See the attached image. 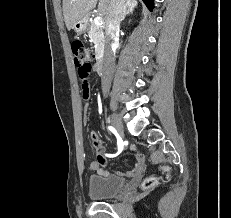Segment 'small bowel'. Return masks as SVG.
Returning <instances> with one entry per match:
<instances>
[{"mask_svg":"<svg viewBox=\"0 0 231 218\" xmlns=\"http://www.w3.org/2000/svg\"><path fill=\"white\" fill-rule=\"evenodd\" d=\"M92 64L80 66L77 70L81 82L82 94L86 98L89 90V75L92 73ZM96 66L95 64L93 65ZM93 147L96 151V159L90 163V168L101 174L107 175L108 172L104 170L107 165V154L104 151V145L96 132L91 133ZM145 170V159L141 155H135V163L129 170H119L116 172L119 176L135 177L140 175Z\"/></svg>","mask_w":231,"mask_h":218,"instance_id":"c3829d8e","label":"small bowel"}]
</instances>
